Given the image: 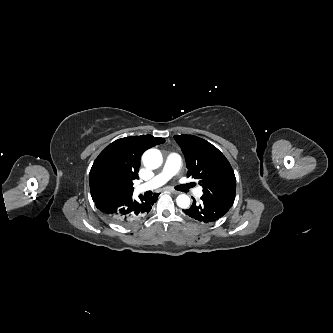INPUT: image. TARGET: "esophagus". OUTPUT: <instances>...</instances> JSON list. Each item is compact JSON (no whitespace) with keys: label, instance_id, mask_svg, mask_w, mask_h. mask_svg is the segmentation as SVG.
I'll list each match as a JSON object with an SVG mask.
<instances>
[{"label":"esophagus","instance_id":"obj_1","mask_svg":"<svg viewBox=\"0 0 333 333\" xmlns=\"http://www.w3.org/2000/svg\"><path fill=\"white\" fill-rule=\"evenodd\" d=\"M170 193H172V194H175V195H177V194H179L180 192H178V191H176V190H174V189H169L168 190Z\"/></svg>","mask_w":333,"mask_h":333}]
</instances>
